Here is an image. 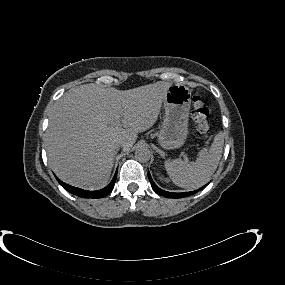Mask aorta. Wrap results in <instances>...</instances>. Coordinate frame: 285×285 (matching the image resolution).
I'll return each instance as SVG.
<instances>
[{
    "label": "aorta",
    "instance_id": "obj_1",
    "mask_svg": "<svg viewBox=\"0 0 285 285\" xmlns=\"http://www.w3.org/2000/svg\"><path fill=\"white\" fill-rule=\"evenodd\" d=\"M151 157L150 150L145 146H140L135 151V158L140 162H148Z\"/></svg>",
    "mask_w": 285,
    "mask_h": 285
}]
</instances>
